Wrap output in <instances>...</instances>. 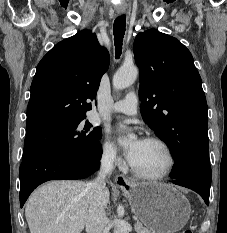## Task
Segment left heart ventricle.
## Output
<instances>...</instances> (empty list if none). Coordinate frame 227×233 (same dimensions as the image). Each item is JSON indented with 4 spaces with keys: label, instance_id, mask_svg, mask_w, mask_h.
I'll return each mask as SVG.
<instances>
[{
    "label": "left heart ventricle",
    "instance_id": "left-heart-ventricle-1",
    "mask_svg": "<svg viewBox=\"0 0 227 233\" xmlns=\"http://www.w3.org/2000/svg\"><path fill=\"white\" fill-rule=\"evenodd\" d=\"M130 162L141 172L158 174L164 171L168 159L159 145L143 141Z\"/></svg>",
    "mask_w": 227,
    "mask_h": 233
}]
</instances>
